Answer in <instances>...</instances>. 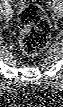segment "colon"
I'll list each match as a JSON object with an SVG mask.
<instances>
[{
  "instance_id": "1",
  "label": "colon",
  "mask_w": 63,
  "mask_h": 107,
  "mask_svg": "<svg viewBox=\"0 0 63 107\" xmlns=\"http://www.w3.org/2000/svg\"><path fill=\"white\" fill-rule=\"evenodd\" d=\"M19 45L27 56H35L49 39V22L39 5L22 1L19 4Z\"/></svg>"
}]
</instances>
